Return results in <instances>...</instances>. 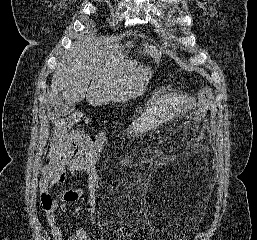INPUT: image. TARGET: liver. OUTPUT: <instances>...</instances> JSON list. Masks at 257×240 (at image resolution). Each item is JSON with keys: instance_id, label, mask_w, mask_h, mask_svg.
I'll return each instance as SVG.
<instances>
[{"instance_id": "1", "label": "liver", "mask_w": 257, "mask_h": 240, "mask_svg": "<svg viewBox=\"0 0 257 240\" xmlns=\"http://www.w3.org/2000/svg\"><path fill=\"white\" fill-rule=\"evenodd\" d=\"M92 27L93 22L86 24L84 33L58 63L47 95L50 106H55L59 94L74 104L86 98L92 106L126 102L140 95L150 68L139 64L136 59H128L129 52H122L124 46L96 38L89 31ZM145 53L158 59L156 47Z\"/></svg>"}]
</instances>
